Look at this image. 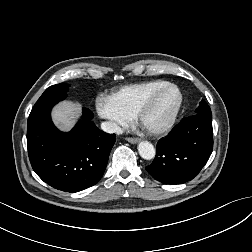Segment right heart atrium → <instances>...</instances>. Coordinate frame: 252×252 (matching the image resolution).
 <instances>
[{
    "mask_svg": "<svg viewBox=\"0 0 252 252\" xmlns=\"http://www.w3.org/2000/svg\"><path fill=\"white\" fill-rule=\"evenodd\" d=\"M95 106L99 116L107 120V127L112 132H118L132 120V116L118 107L111 97H98Z\"/></svg>",
    "mask_w": 252,
    "mask_h": 252,
    "instance_id": "obj_1",
    "label": "right heart atrium"
}]
</instances>
